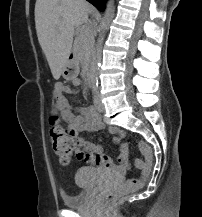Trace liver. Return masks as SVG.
Wrapping results in <instances>:
<instances>
[{"mask_svg": "<svg viewBox=\"0 0 202 217\" xmlns=\"http://www.w3.org/2000/svg\"><path fill=\"white\" fill-rule=\"evenodd\" d=\"M92 7L84 0H38L35 26L52 75L59 79L71 53L75 27L87 24Z\"/></svg>", "mask_w": 202, "mask_h": 217, "instance_id": "6515ba94", "label": "liver"}]
</instances>
